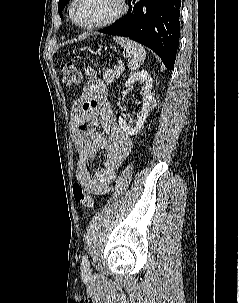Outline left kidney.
I'll return each mask as SVG.
<instances>
[{
  "label": "left kidney",
  "mask_w": 239,
  "mask_h": 303,
  "mask_svg": "<svg viewBox=\"0 0 239 303\" xmlns=\"http://www.w3.org/2000/svg\"><path fill=\"white\" fill-rule=\"evenodd\" d=\"M135 82L140 83L143 85V105L141 111L137 114V119L135 121V125L127 124L125 119L122 117H119L118 123L120 127L123 129V131L130 136H133L139 132V130L144 125L148 113H149V107L150 103L152 101V95L151 90L153 86L152 78L148 74L147 71L141 70L137 73H134L125 83L126 87H131Z\"/></svg>",
  "instance_id": "1"
}]
</instances>
